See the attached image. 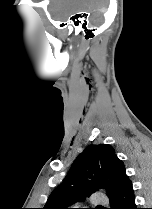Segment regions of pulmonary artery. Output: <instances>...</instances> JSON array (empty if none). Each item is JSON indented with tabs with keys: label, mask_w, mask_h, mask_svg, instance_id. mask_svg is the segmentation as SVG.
<instances>
[{
	"label": "pulmonary artery",
	"mask_w": 152,
	"mask_h": 209,
	"mask_svg": "<svg viewBox=\"0 0 152 209\" xmlns=\"http://www.w3.org/2000/svg\"><path fill=\"white\" fill-rule=\"evenodd\" d=\"M91 203L94 205H105L107 203V199L100 194H94Z\"/></svg>",
	"instance_id": "pulmonary-artery-1"
}]
</instances>
